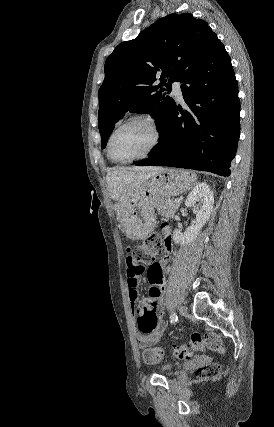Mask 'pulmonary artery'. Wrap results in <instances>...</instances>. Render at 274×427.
Segmentation results:
<instances>
[{
	"label": "pulmonary artery",
	"instance_id": "1",
	"mask_svg": "<svg viewBox=\"0 0 274 427\" xmlns=\"http://www.w3.org/2000/svg\"><path fill=\"white\" fill-rule=\"evenodd\" d=\"M172 94L175 97V99L179 102H183V94L180 84L175 83L172 85Z\"/></svg>",
	"mask_w": 274,
	"mask_h": 427
}]
</instances>
